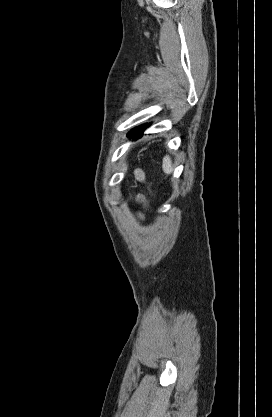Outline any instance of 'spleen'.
<instances>
[{
	"mask_svg": "<svg viewBox=\"0 0 272 417\" xmlns=\"http://www.w3.org/2000/svg\"><path fill=\"white\" fill-rule=\"evenodd\" d=\"M162 169L166 174H170L173 171L172 160L169 156L163 158Z\"/></svg>",
	"mask_w": 272,
	"mask_h": 417,
	"instance_id": "1",
	"label": "spleen"
}]
</instances>
